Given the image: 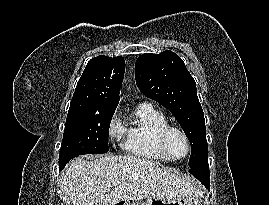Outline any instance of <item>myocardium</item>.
Segmentation results:
<instances>
[{
	"instance_id": "f54148a6",
	"label": "myocardium",
	"mask_w": 269,
	"mask_h": 205,
	"mask_svg": "<svg viewBox=\"0 0 269 205\" xmlns=\"http://www.w3.org/2000/svg\"><path fill=\"white\" fill-rule=\"evenodd\" d=\"M173 131L180 133L185 139V142L187 145V151H186V154L182 157L174 156L168 148V137H169L170 133ZM156 142H157V146H158V149L160 150V152L165 157L170 159L171 161L184 160L191 153L192 146H191V141H190V138H189L187 132L183 128L176 126V125L167 124V125L163 126L157 133Z\"/></svg>"
}]
</instances>
